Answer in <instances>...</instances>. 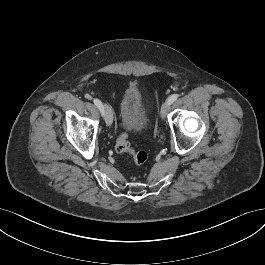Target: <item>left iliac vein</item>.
Returning a JSON list of instances; mask_svg holds the SVG:
<instances>
[{
    "label": "left iliac vein",
    "instance_id": "obj_1",
    "mask_svg": "<svg viewBox=\"0 0 265 265\" xmlns=\"http://www.w3.org/2000/svg\"><path fill=\"white\" fill-rule=\"evenodd\" d=\"M170 107V102L167 100L165 101L162 106H161V110H160V114H161V118H165L167 115V112L169 110Z\"/></svg>",
    "mask_w": 265,
    "mask_h": 265
}]
</instances>
